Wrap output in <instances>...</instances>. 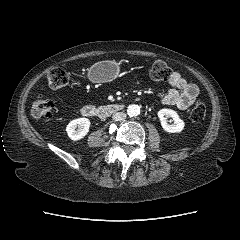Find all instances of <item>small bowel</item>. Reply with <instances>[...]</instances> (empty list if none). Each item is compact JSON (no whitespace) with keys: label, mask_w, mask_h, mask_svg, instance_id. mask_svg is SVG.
I'll list each match as a JSON object with an SVG mask.
<instances>
[{"label":"small bowel","mask_w":240,"mask_h":240,"mask_svg":"<svg viewBox=\"0 0 240 240\" xmlns=\"http://www.w3.org/2000/svg\"><path fill=\"white\" fill-rule=\"evenodd\" d=\"M171 89L161 99L164 106H176L180 110L189 108L199 95V88L189 83L180 73L173 71L168 79Z\"/></svg>","instance_id":"c3829d8e"}]
</instances>
